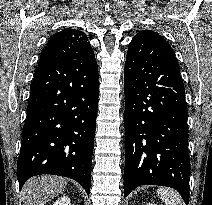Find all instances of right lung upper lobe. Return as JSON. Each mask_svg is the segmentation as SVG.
Instances as JSON below:
<instances>
[{"instance_id":"right-lung-upper-lobe-1","label":"right lung upper lobe","mask_w":212,"mask_h":205,"mask_svg":"<svg viewBox=\"0 0 212 205\" xmlns=\"http://www.w3.org/2000/svg\"><path fill=\"white\" fill-rule=\"evenodd\" d=\"M94 52L87 36L73 28L63 29L48 40L43 48L38 65L65 59L90 60Z\"/></svg>"}]
</instances>
